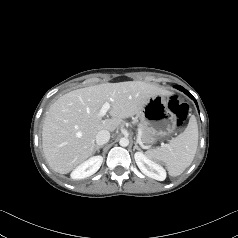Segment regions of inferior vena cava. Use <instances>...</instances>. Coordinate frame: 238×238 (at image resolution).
I'll return each instance as SVG.
<instances>
[{"instance_id": "inferior-vena-cava-1", "label": "inferior vena cava", "mask_w": 238, "mask_h": 238, "mask_svg": "<svg viewBox=\"0 0 238 238\" xmlns=\"http://www.w3.org/2000/svg\"><path fill=\"white\" fill-rule=\"evenodd\" d=\"M110 139V133L108 130H101L96 134L95 141L97 145L106 144Z\"/></svg>"}]
</instances>
